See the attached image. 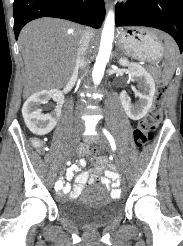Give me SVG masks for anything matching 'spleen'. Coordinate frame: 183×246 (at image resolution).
<instances>
[{
  "label": "spleen",
  "instance_id": "spleen-1",
  "mask_svg": "<svg viewBox=\"0 0 183 246\" xmlns=\"http://www.w3.org/2000/svg\"><path fill=\"white\" fill-rule=\"evenodd\" d=\"M157 36L159 39H163L165 41L164 52L168 63L166 68L163 70L162 82L167 84L175 72L178 57V47L174 40L166 34L157 32Z\"/></svg>",
  "mask_w": 183,
  "mask_h": 246
}]
</instances>
